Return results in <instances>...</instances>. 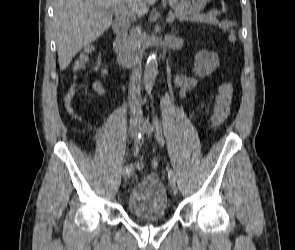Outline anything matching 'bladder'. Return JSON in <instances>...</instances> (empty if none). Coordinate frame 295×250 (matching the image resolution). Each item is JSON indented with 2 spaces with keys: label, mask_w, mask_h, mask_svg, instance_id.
Wrapping results in <instances>:
<instances>
[{
  "label": "bladder",
  "mask_w": 295,
  "mask_h": 250,
  "mask_svg": "<svg viewBox=\"0 0 295 250\" xmlns=\"http://www.w3.org/2000/svg\"><path fill=\"white\" fill-rule=\"evenodd\" d=\"M127 209L138 220H160L168 211V196L162 180L150 174L140 180L131 190Z\"/></svg>",
  "instance_id": "obj_1"
}]
</instances>
